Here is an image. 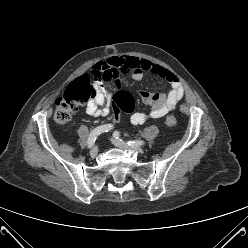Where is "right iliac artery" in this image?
<instances>
[{"label":"right iliac artery","instance_id":"obj_1","mask_svg":"<svg viewBox=\"0 0 248 248\" xmlns=\"http://www.w3.org/2000/svg\"><path fill=\"white\" fill-rule=\"evenodd\" d=\"M111 129H113V125H111V124H105V125H101V126L96 127V128L90 133V135H89V137H88V141H87L88 147L90 148V147L93 146V144L95 143L97 137H98L100 134H102V133H104V132H108V131H110Z\"/></svg>","mask_w":248,"mask_h":248}]
</instances>
